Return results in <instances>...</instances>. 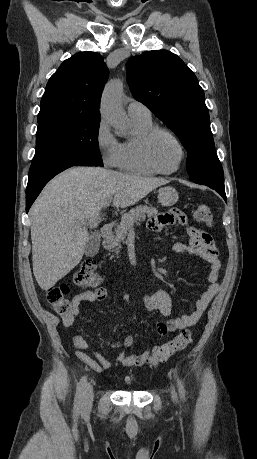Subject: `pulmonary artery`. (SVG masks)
Segmentation results:
<instances>
[{"label":"pulmonary artery","mask_w":257,"mask_h":459,"mask_svg":"<svg viewBox=\"0 0 257 459\" xmlns=\"http://www.w3.org/2000/svg\"><path fill=\"white\" fill-rule=\"evenodd\" d=\"M127 112L130 117H143L151 118V112L143 103L138 101H131L128 104Z\"/></svg>","instance_id":"pulmonary-artery-1"}]
</instances>
